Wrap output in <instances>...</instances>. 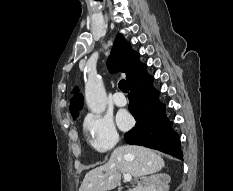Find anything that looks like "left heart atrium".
Instances as JSON below:
<instances>
[{
    "label": "left heart atrium",
    "instance_id": "left-heart-atrium-1",
    "mask_svg": "<svg viewBox=\"0 0 233 191\" xmlns=\"http://www.w3.org/2000/svg\"><path fill=\"white\" fill-rule=\"evenodd\" d=\"M117 123L121 129L126 130L131 127L132 118L129 113L122 111L117 116Z\"/></svg>",
    "mask_w": 233,
    "mask_h": 191
}]
</instances>
